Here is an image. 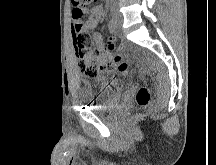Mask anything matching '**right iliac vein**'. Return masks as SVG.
<instances>
[{"mask_svg": "<svg viewBox=\"0 0 216 165\" xmlns=\"http://www.w3.org/2000/svg\"><path fill=\"white\" fill-rule=\"evenodd\" d=\"M112 19L115 22L116 26H120L121 25V23H122V16L118 12L113 11V13H112Z\"/></svg>", "mask_w": 216, "mask_h": 165, "instance_id": "right-iliac-vein-1", "label": "right iliac vein"}]
</instances>
